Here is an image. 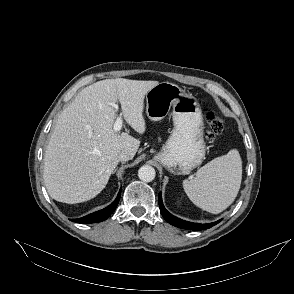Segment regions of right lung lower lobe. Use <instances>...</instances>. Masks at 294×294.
Here are the masks:
<instances>
[{
	"label": "right lung lower lobe",
	"instance_id": "1",
	"mask_svg": "<svg viewBox=\"0 0 294 294\" xmlns=\"http://www.w3.org/2000/svg\"><path fill=\"white\" fill-rule=\"evenodd\" d=\"M120 194H121V190L119 191L118 196L115 199V201L111 205H109L108 207H106L100 211L91 213L85 217H82L79 219H72V221H74L76 223L88 224V223H95V222H101V221L106 220L112 214V212L115 210V208L117 207L119 199H120Z\"/></svg>",
	"mask_w": 294,
	"mask_h": 294
}]
</instances>
